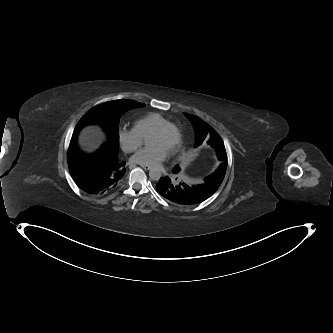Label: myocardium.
Returning <instances> with one entry per match:
<instances>
[{
	"label": "myocardium",
	"mask_w": 333,
	"mask_h": 333,
	"mask_svg": "<svg viewBox=\"0 0 333 333\" xmlns=\"http://www.w3.org/2000/svg\"><path fill=\"white\" fill-rule=\"evenodd\" d=\"M168 132L174 133V140L168 149V153H172L178 147V145L180 143V129L178 128V126H176L172 122L166 123V124L158 127L157 129H155L151 134H165Z\"/></svg>",
	"instance_id": "f54148a6"
}]
</instances>
